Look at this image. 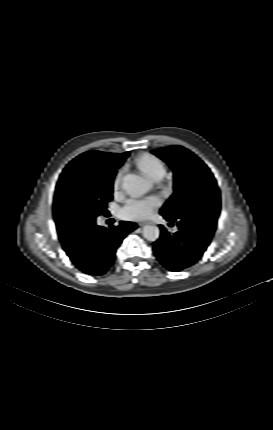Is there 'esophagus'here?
Returning a JSON list of instances; mask_svg holds the SVG:
<instances>
[{
    "mask_svg": "<svg viewBox=\"0 0 273 430\" xmlns=\"http://www.w3.org/2000/svg\"><path fill=\"white\" fill-rule=\"evenodd\" d=\"M147 224H151V222H141V223H139L140 226H145Z\"/></svg>",
    "mask_w": 273,
    "mask_h": 430,
    "instance_id": "esophagus-1",
    "label": "esophagus"
}]
</instances>
